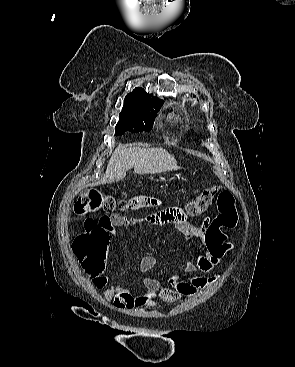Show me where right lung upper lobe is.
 I'll use <instances>...</instances> for the list:
<instances>
[{
	"mask_svg": "<svg viewBox=\"0 0 295 367\" xmlns=\"http://www.w3.org/2000/svg\"><path fill=\"white\" fill-rule=\"evenodd\" d=\"M139 104L160 105L162 101L158 97H154L153 94L147 93L143 88L137 87L125 97L122 112L129 111Z\"/></svg>",
	"mask_w": 295,
	"mask_h": 367,
	"instance_id": "right-lung-upper-lobe-1",
	"label": "right lung upper lobe"
}]
</instances>
